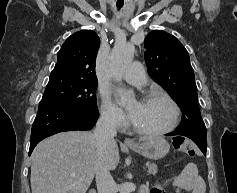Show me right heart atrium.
Listing matches in <instances>:
<instances>
[{
  "mask_svg": "<svg viewBox=\"0 0 237 193\" xmlns=\"http://www.w3.org/2000/svg\"><path fill=\"white\" fill-rule=\"evenodd\" d=\"M100 115L102 120L111 127L122 129L127 120L124 112L112 101L107 91L100 92Z\"/></svg>",
  "mask_w": 237,
  "mask_h": 193,
  "instance_id": "right-heart-atrium-1",
  "label": "right heart atrium"
}]
</instances>
